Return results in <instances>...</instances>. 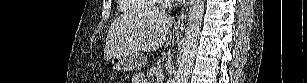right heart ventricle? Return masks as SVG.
Segmentation results:
<instances>
[{
  "mask_svg": "<svg viewBox=\"0 0 307 83\" xmlns=\"http://www.w3.org/2000/svg\"><path fill=\"white\" fill-rule=\"evenodd\" d=\"M154 1L145 0H122L121 11L128 13H143L154 9L156 6Z\"/></svg>",
  "mask_w": 307,
  "mask_h": 83,
  "instance_id": "obj_1",
  "label": "right heart ventricle"
}]
</instances>
